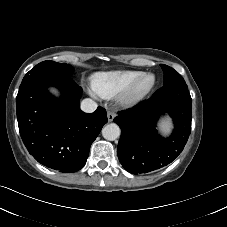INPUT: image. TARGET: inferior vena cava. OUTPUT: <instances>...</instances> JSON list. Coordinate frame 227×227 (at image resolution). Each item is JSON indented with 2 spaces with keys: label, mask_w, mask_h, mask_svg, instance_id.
Segmentation results:
<instances>
[{
  "label": "inferior vena cava",
  "mask_w": 227,
  "mask_h": 227,
  "mask_svg": "<svg viewBox=\"0 0 227 227\" xmlns=\"http://www.w3.org/2000/svg\"><path fill=\"white\" fill-rule=\"evenodd\" d=\"M97 103L92 99L86 98L81 102V109L86 113H92L97 109Z\"/></svg>",
  "instance_id": "1"
}]
</instances>
